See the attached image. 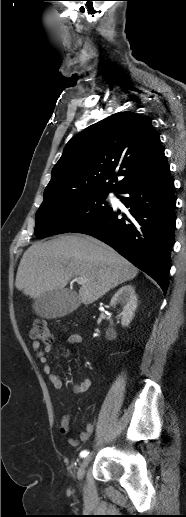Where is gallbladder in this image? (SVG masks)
I'll return each mask as SVG.
<instances>
[{"instance_id":"bac80fb5","label":"gallbladder","mask_w":186,"mask_h":517,"mask_svg":"<svg viewBox=\"0 0 186 517\" xmlns=\"http://www.w3.org/2000/svg\"><path fill=\"white\" fill-rule=\"evenodd\" d=\"M80 305L79 297L71 290H57L43 294L33 304L37 315L44 318L62 317Z\"/></svg>"}]
</instances>
